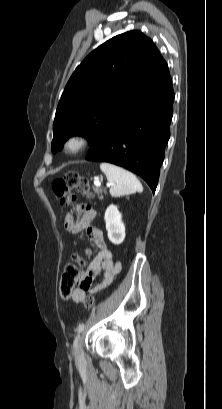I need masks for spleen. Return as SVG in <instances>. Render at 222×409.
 I'll return each mask as SVG.
<instances>
[{"label":"spleen","mask_w":222,"mask_h":409,"mask_svg":"<svg viewBox=\"0 0 222 409\" xmlns=\"http://www.w3.org/2000/svg\"><path fill=\"white\" fill-rule=\"evenodd\" d=\"M100 169L112 183L111 196L120 197L143 191L142 184L131 172L110 163H101Z\"/></svg>","instance_id":"obj_1"}]
</instances>
